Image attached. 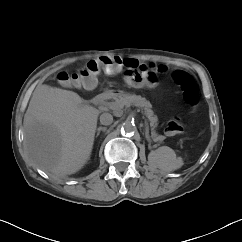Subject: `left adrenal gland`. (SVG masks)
Masks as SVG:
<instances>
[{"label":"left adrenal gland","mask_w":242,"mask_h":242,"mask_svg":"<svg viewBox=\"0 0 242 242\" xmlns=\"http://www.w3.org/2000/svg\"><path fill=\"white\" fill-rule=\"evenodd\" d=\"M146 137H148V127H146Z\"/></svg>","instance_id":"1"}]
</instances>
